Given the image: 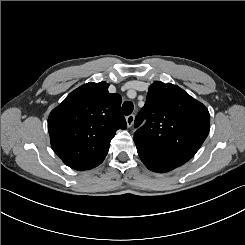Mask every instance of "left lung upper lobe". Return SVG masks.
Instances as JSON below:
<instances>
[{"label":"left lung upper lobe","mask_w":245,"mask_h":245,"mask_svg":"<svg viewBox=\"0 0 245 245\" xmlns=\"http://www.w3.org/2000/svg\"><path fill=\"white\" fill-rule=\"evenodd\" d=\"M136 146L171 152L185 161L199 150L210 129L208 109L171 83L154 82L148 90L135 127Z\"/></svg>","instance_id":"obj_1"}]
</instances>
